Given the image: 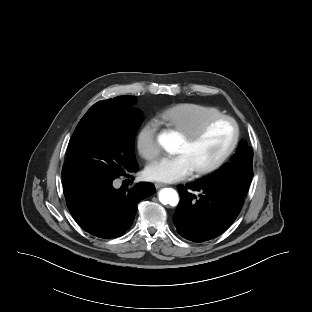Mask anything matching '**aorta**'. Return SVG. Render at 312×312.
I'll use <instances>...</instances> for the list:
<instances>
[{"instance_id":"1","label":"aorta","mask_w":312,"mask_h":312,"mask_svg":"<svg viewBox=\"0 0 312 312\" xmlns=\"http://www.w3.org/2000/svg\"><path fill=\"white\" fill-rule=\"evenodd\" d=\"M157 140L166 150H170L174 146V141L169 133L159 134ZM158 197L159 201L164 205L176 206L179 202L178 193L172 188H163L160 190Z\"/></svg>"}]
</instances>
